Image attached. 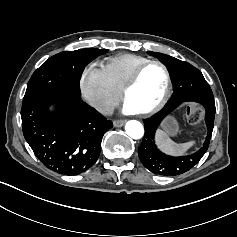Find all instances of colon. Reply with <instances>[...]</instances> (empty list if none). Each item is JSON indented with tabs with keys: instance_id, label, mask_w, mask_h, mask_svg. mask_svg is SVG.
Returning a JSON list of instances; mask_svg holds the SVG:
<instances>
[{
	"instance_id": "obj_1",
	"label": "colon",
	"mask_w": 237,
	"mask_h": 237,
	"mask_svg": "<svg viewBox=\"0 0 237 237\" xmlns=\"http://www.w3.org/2000/svg\"><path fill=\"white\" fill-rule=\"evenodd\" d=\"M205 116L203 108L197 103H189L186 108V117L190 123H199Z\"/></svg>"
}]
</instances>
